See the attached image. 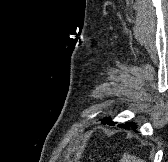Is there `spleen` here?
Instances as JSON below:
<instances>
[{
	"label": "spleen",
	"mask_w": 168,
	"mask_h": 162,
	"mask_svg": "<svg viewBox=\"0 0 168 162\" xmlns=\"http://www.w3.org/2000/svg\"><path fill=\"white\" fill-rule=\"evenodd\" d=\"M119 162H145V161L136 157L135 155L124 153Z\"/></svg>",
	"instance_id": "3e777b00"
}]
</instances>
